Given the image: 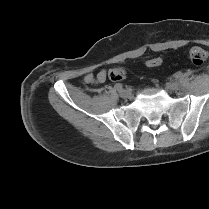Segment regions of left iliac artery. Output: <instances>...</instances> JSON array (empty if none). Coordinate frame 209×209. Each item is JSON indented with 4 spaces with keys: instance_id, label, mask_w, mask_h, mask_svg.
Wrapping results in <instances>:
<instances>
[{
    "instance_id": "1",
    "label": "left iliac artery",
    "mask_w": 209,
    "mask_h": 209,
    "mask_svg": "<svg viewBox=\"0 0 209 209\" xmlns=\"http://www.w3.org/2000/svg\"><path fill=\"white\" fill-rule=\"evenodd\" d=\"M181 79H182V73H177V74L174 76V80H175L176 82H179Z\"/></svg>"
}]
</instances>
